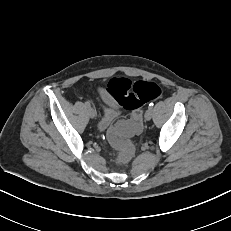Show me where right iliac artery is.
Instances as JSON below:
<instances>
[{
	"instance_id": "right-iliac-artery-1",
	"label": "right iliac artery",
	"mask_w": 231,
	"mask_h": 231,
	"mask_svg": "<svg viewBox=\"0 0 231 231\" xmlns=\"http://www.w3.org/2000/svg\"><path fill=\"white\" fill-rule=\"evenodd\" d=\"M86 107H90V103L88 101L85 102Z\"/></svg>"
}]
</instances>
